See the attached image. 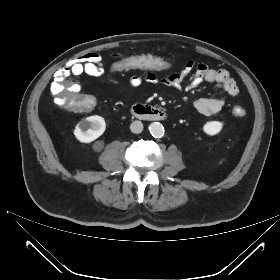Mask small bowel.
I'll return each mask as SVG.
<instances>
[{"label": "small bowel", "instance_id": "small-bowel-1", "mask_svg": "<svg viewBox=\"0 0 280 280\" xmlns=\"http://www.w3.org/2000/svg\"><path fill=\"white\" fill-rule=\"evenodd\" d=\"M161 58V57H160ZM194 68L193 61H187L183 70L177 73L158 77L155 72L137 73L129 78L128 85L132 88L139 87L143 83L161 84L176 89H195L203 83L215 85L217 89L223 90L230 96H237L239 88L225 69H213L206 64H198L195 73L187 80L185 75ZM65 70L70 73H85L91 76H100L104 72L101 58L96 53H88L70 61ZM140 70V69H139ZM125 71V70H124ZM225 101L221 96L199 98L195 101V109L204 115H214L224 107Z\"/></svg>", "mask_w": 280, "mask_h": 280}]
</instances>
